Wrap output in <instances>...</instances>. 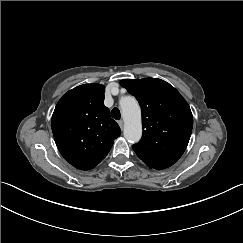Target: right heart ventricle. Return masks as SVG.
I'll return each mask as SVG.
<instances>
[{
  "mask_svg": "<svg viewBox=\"0 0 243 243\" xmlns=\"http://www.w3.org/2000/svg\"><path fill=\"white\" fill-rule=\"evenodd\" d=\"M129 99H131L130 97H127L126 99H124V100H129Z\"/></svg>",
  "mask_w": 243,
  "mask_h": 243,
  "instance_id": "right-heart-ventricle-1",
  "label": "right heart ventricle"
}]
</instances>
